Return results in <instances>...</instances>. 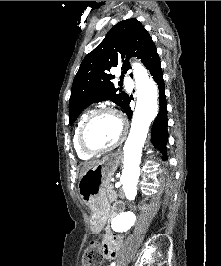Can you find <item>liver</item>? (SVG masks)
<instances>
[{
	"mask_svg": "<svg viewBox=\"0 0 221 266\" xmlns=\"http://www.w3.org/2000/svg\"><path fill=\"white\" fill-rule=\"evenodd\" d=\"M100 161L99 160H93V161H90V162H87L83 165L82 169H81V172H80V177L88 170L90 169L91 167L97 165Z\"/></svg>",
	"mask_w": 221,
	"mask_h": 266,
	"instance_id": "obj_1",
	"label": "liver"
}]
</instances>
